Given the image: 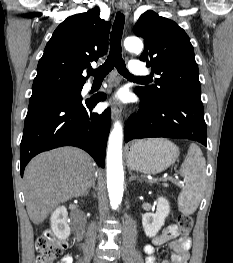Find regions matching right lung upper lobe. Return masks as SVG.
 <instances>
[{
    "label": "right lung upper lobe",
    "mask_w": 233,
    "mask_h": 263,
    "mask_svg": "<svg viewBox=\"0 0 233 263\" xmlns=\"http://www.w3.org/2000/svg\"><path fill=\"white\" fill-rule=\"evenodd\" d=\"M99 8L68 17L54 31L38 62L32 96L82 87L90 62L106 54L110 22Z\"/></svg>",
    "instance_id": "obj_1"
}]
</instances>
